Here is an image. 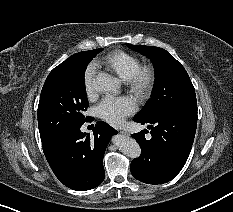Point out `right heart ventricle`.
I'll return each instance as SVG.
<instances>
[{
	"label": "right heart ventricle",
	"instance_id": "obj_1",
	"mask_svg": "<svg viewBox=\"0 0 233 212\" xmlns=\"http://www.w3.org/2000/svg\"><path fill=\"white\" fill-rule=\"evenodd\" d=\"M98 63L104 65L123 81L128 80L141 66V61L138 57L122 50L110 52Z\"/></svg>",
	"mask_w": 233,
	"mask_h": 212
}]
</instances>
